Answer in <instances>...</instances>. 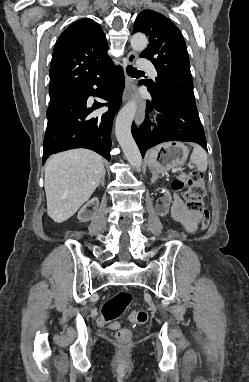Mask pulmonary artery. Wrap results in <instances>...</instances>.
Returning <instances> with one entry per match:
<instances>
[{"mask_svg":"<svg viewBox=\"0 0 249 382\" xmlns=\"http://www.w3.org/2000/svg\"><path fill=\"white\" fill-rule=\"evenodd\" d=\"M139 68L149 71L153 77L157 76V72L155 71L154 66L150 62L144 60L140 61Z\"/></svg>","mask_w":249,"mask_h":382,"instance_id":"e3ab8cb5","label":"pulmonary artery"}]
</instances>
